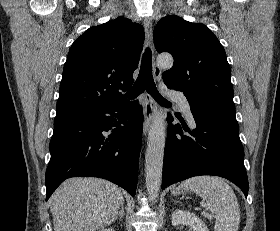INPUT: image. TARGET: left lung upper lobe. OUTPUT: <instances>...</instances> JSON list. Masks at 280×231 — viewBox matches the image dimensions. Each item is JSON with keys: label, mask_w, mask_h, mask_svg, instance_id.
<instances>
[{"label": "left lung upper lobe", "mask_w": 280, "mask_h": 231, "mask_svg": "<svg viewBox=\"0 0 280 231\" xmlns=\"http://www.w3.org/2000/svg\"><path fill=\"white\" fill-rule=\"evenodd\" d=\"M153 37L156 50L174 58L173 67L163 73L168 88L182 91L192 107L235 113L230 66L209 28L166 16L157 23Z\"/></svg>", "instance_id": "5c2ea615"}]
</instances>
